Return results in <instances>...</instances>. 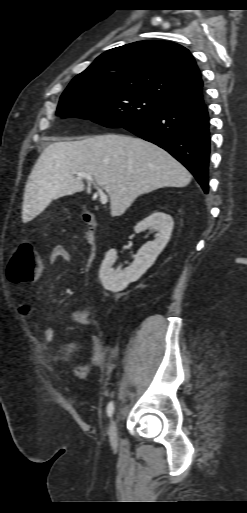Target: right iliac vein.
<instances>
[{"instance_id":"obj_1","label":"right iliac vein","mask_w":247,"mask_h":513,"mask_svg":"<svg viewBox=\"0 0 247 513\" xmlns=\"http://www.w3.org/2000/svg\"><path fill=\"white\" fill-rule=\"evenodd\" d=\"M117 422H118L117 418L113 417L111 420V423H110V428H109V440H110V444L113 449H115L117 447V443H118Z\"/></svg>"}]
</instances>
